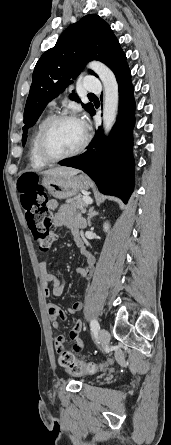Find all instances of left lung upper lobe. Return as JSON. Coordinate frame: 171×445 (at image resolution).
<instances>
[{"label": "left lung upper lobe", "mask_w": 171, "mask_h": 445, "mask_svg": "<svg viewBox=\"0 0 171 445\" xmlns=\"http://www.w3.org/2000/svg\"><path fill=\"white\" fill-rule=\"evenodd\" d=\"M99 60L116 73L126 62V56L108 23L90 14L70 25L58 38L56 45L38 60L24 110L22 144L28 129L35 124L47 103L57 97L75 79L88 61ZM91 74H94L91 70ZM74 92V91H73ZM69 98L81 102L76 94ZM91 113L92 103L83 104Z\"/></svg>", "instance_id": "obj_1"}]
</instances>
